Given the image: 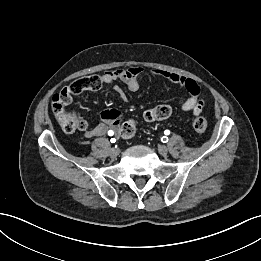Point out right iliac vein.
I'll return each mask as SVG.
<instances>
[{"label": "right iliac vein", "instance_id": "63e3f726", "mask_svg": "<svg viewBox=\"0 0 261 261\" xmlns=\"http://www.w3.org/2000/svg\"><path fill=\"white\" fill-rule=\"evenodd\" d=\"M118 154H119V149H117V148H111L110 151H109V155L112 158L117 157Z\"/></svg>", "mask_w": 261, "mask_h": 261}]
</instances>
